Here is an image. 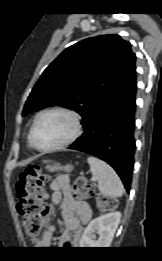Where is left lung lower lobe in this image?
I'll return each mask as SVG.
<instances>
[{"mask_svg": "<svg viewBox=\"0 0 162 261\" xmlns=\"http://www.w3.org/2000/svg\"><path fill=\"white\" fill-rule=\"evenodd\" d=\"M136 74L92 112L84 133L69 149L94 155L110 164L130 190L135 152Z\"/></svg>", "mask_w": 162, "mask_h": 261, "instance_id": "left-lung-lower-lobe-1", "label": "left lung lower lobe"}]
</instances>
